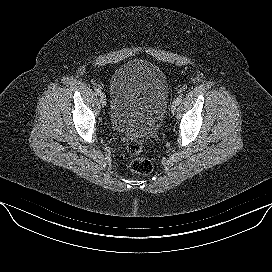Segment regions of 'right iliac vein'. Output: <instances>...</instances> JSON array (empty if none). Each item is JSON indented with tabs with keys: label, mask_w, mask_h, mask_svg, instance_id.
<instances>
[{
	"label": "right iliac vein",
	"mask_w": 272,
	"mask_h": 272,
	"mask_svg": "<svg viewBox=\"0 0 272 272\" xmlns=\"http://www.w3.org/2000/svg\"><path fill=\"white\" fill-rule=\"evenodd\" d=\"M100 103L102 106H105L107 103V99H106V96L104 93H101V95H100Z\"/></svg>",
	"instance_id": "right-iliac-vein-1"
}]
</instances>
